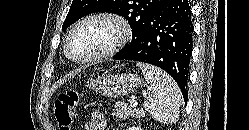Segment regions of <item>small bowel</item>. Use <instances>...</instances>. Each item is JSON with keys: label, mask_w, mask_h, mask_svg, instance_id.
I'll list each match as a JSON object with an SVG mask.
<instances>
[{"label": "small bowel", "mask_w": 249, "mask_h": 130, "mask_svg": "<svg viewBox=\"0 0 249 130\" xmlns=\"http://www.w3.org/2000/svg\"><path fill=\"white\" fill-rule=\"evenodd\" d=\"M107 121L104 114L98 110L91 113L89 120L85 123V130H105Z\"/></svg>", "instance_id": "c3829d8e"}]
</instances>
